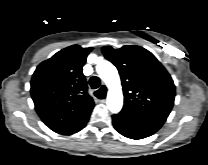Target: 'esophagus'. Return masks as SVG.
<instances>
[{
	"label": "esophagus",
	"mask_w": 208,
	"mask_h": 165,
	"mask_svg": "<svg viewBox=\"0 0 208 165\" xmlns=\"http://www.w3.org/2000/svg\"><path fill=\"white\" fill-rule=\"evenodd\" d=\"M103 88H105V86H102ZM101 102H104L105 101V98L104 99H102V100H100Z\"/></svg>",
	"instance_id": "esophagus-1"
}]
</instances>
